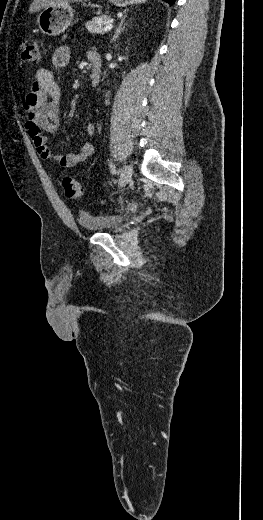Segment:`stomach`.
<instances>
[{
  "label": "stomach",
  "mask_w": 263,
  "mask_h": 520,
  "mask_svg": "<svg viewBox=\"0 0 263 520\" xmlns=\"http://www.w3.org/2000/svg\"><path fill=\"white\" fill-rule=\"evenodd\" d=\"M110 3L125 7L132 4H140L146 0H109ZM73 8L70 4L49 6L43 9L37 18L41 32L48 36H57L65 32L73 20Z\"/></svg>",
  "instance_id": "0dacf381"
}]
</instances>
